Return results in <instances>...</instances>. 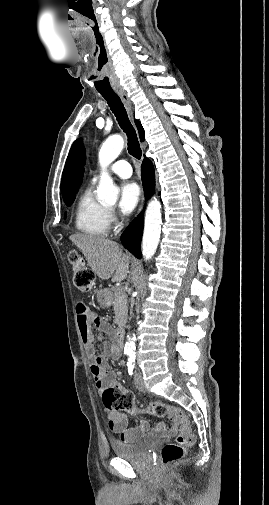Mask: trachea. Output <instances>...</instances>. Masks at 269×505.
Instances as JSON below:
<instances>
[{"label": "trachea", "instance_id": "obj_1", "mask_svg": "<svg viewBox=\"0 0 269 505\" xmlns=\"http://www.w3.org/2000/svg\"><path fill=\"white\" fill-rule=\"evenodd\" d=\"M100 94L107 101L110 109L118 121L119 126L127 135L129 154L139 160L142 156V150L140 148L136 131L128 118L126 109L120 97L114 91L100 92Z\"/></svg>", "mask_w": 269, "mask_h": 505}]
</instances>
